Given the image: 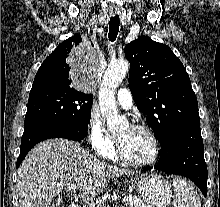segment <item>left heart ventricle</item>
Listing matches in <instances>:
<instances>
[{"mask_svg": "<svg viewBox=\"0 0 220 207\" xmlns=\"http://www.w3.org/2000/svg\"><path fill=\"white\" fill-rule=\"evenodd\" d=\"M116 137L131 160L146 161L152 157L153 143L144 131L126 125L116 133Z\"/></svg>", "mask_w": 220, "mask_h": 207, "instance_id": "1", "label": "left heart ventricle"}]
</instances>
